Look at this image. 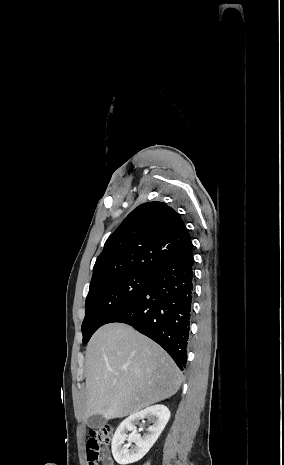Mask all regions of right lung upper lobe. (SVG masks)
Masks as SVG:
<instances>
[{
  "instance_id": "obj_1",
  "label": "right lung upper lobe",
  "mask_w": 284,
  "mask_h": 465,
  "mask_svg": "<svg viewBox=\"0 0 284 465\" xmlns=\"http://www.w3.org/2000/svg\"><path fill=\"white\" fill-rule=\"evenodd\" d=\"M192 248L180 215L162 202L135 208L107 239L90 286L126 274L155 275Z\"/></svg>"
}]
</instances>
